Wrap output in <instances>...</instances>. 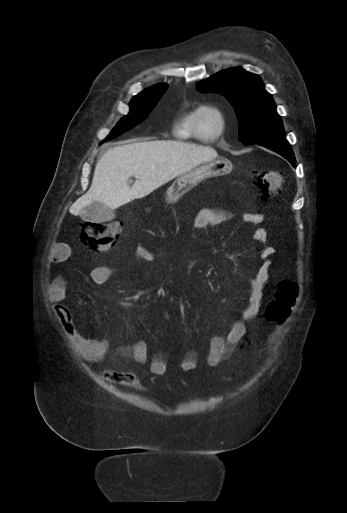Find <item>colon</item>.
I'll return each instance as SVG.
<instances>
[{
  "instance_id": "colon-1",
  "label": "colon",
  "mask_w": 347,
  "mask_h": 513,
  "mask_svg": "<svg viewBox=\"0 0 347 513\" xmlns=\"http://www.w3.org/2000/svg\"><path fill=\"white\" fill-rule=\"evenodd\" d=\"M250 182L258 191L260 200L265 202L280 189L282 175L277 170H256L251 173ZM122 231L123 226L119 221L85 222L80 226V238L92 249L105 252L118 244ZM298 297L299 285L291 280H282L266 308V317L277 323L285 321Z\"/></svg>"
}]
</instances>
